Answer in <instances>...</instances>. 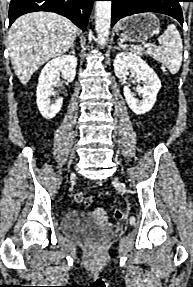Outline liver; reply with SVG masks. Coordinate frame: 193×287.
I'll return each mask as SVG.
<instances>
[{
    "label": "liver",
    "instance_id": "liver-1",
    "mask_svg": "<svg viewBox=\"0 0 193 287\" xmlns=\"http://www.w3.org/2000/svg\"><path fill=\"white\" fill-rule=\"evenodd\" d=\"M77 27L67 18L49 12L19 17L8 33L14 72L22 84L49 59L66 53L76 39Z\"/></svg>",
    "mask_w": 193,
    "mask_h": 287
}]
</instances>
